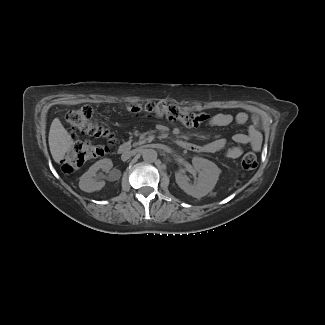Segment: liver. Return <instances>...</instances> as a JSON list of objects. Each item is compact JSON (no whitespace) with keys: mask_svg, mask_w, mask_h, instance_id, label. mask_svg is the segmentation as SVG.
Returning <instances> with one entry per match:
<instances>
[{"mask_svg":"<svg viewBox=\"0 0 325 325\" xmlns=\"http://www.w3.org/2000/svg\"><path fill=\"white\" fill-rule=\"evenodd\" d=\"M48 141L51 155L56 163L63 160L66 152L73 146L72 137L58 118H55L51 124Z\"/></svg>","mask_w":325,"mask_h":325,"instance_id":"liver-1","label":"liver"}]
</instances>
